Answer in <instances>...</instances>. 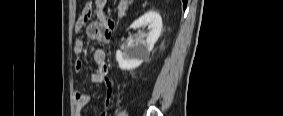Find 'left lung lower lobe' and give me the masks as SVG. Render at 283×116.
Segmentation results:
<instances>
[{"label":"left lung lower lobe","instance_id":"1","mask_svg":"<svg viewBox=\"0 0 283 116\" xmlns=\"http://www.w3.org/2000/svg\"><path fill=\"white\" fill-rule=\"evenodd\" d=\"M183 4H184V8H185L186 5H187V0H183Z\"/></svg>","mask_w":283,"mask_h":116}]
</instances>
